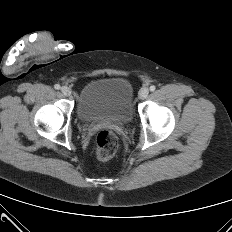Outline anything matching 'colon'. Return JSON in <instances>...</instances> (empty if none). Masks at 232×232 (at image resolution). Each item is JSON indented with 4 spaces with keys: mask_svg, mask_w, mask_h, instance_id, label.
Returning <instances> with one entry per match:
<instances>
[{
    "mask_svg": "<svg viewBox=\"0 0 232 232\" xmlns=\"http://www.w3.org/2000/svg\"><path fill=\"white\" fill-rule=\"evenodd\" d=\"M118 149V139L114 132L101 130L96 137V156L105 161L112 158Z\"/></svg>",
    "mask_w": 232,
    "mask_h": 232,
    "instance_id": "obj_1",
    "label": "colon"
}]
</instances>
